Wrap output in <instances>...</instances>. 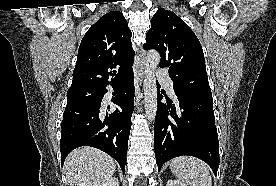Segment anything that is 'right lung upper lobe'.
Segmentation results:
<instances>
[{
    "instance_id": "obj_1",
    "label": "right lung upper lobe",
    "mask_w": 276,
    "mask_h": 186,
    "mask_svg": "<svg viewBox=\"0 0 276 186\" xmlns=\"http://www.w3.org/2000/svg\"><path fill=\"white\" fill-rule=\"evenodd\" d=\"M132 33L119 11L102 16L84 35L78 50L69 90L103 88L123 80L133 71ZM111 79V80H110Z\"/></svg>"
}]
</instances>
